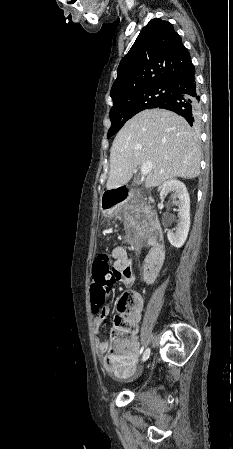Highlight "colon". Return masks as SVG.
I'll return each instance as SVG.
<instances>
[{
  "label": "colon",
  "instance_id": "5ec220e1",
  "mask_svg": "<svg viewBox=\"0 0 233 449\" xmlns=\"http://www.w3.org/2000/svg\"><path fill=\"white\" fill-rule=\"evenodd\" d=\"M112 269L109 258L101 254L92 264L91 269V305L95 313H99L108 298ZM141 298L135 292H127L122 295L118 302L119 314L115 317L111 331L112 346L115 352L126 351L133 334L138 327L139 310ZM114 361L107 360L106 366L112 367Z\"/></svg>",
  "mask_w": 233,
  "mask_h": 449
}]
</instances>
